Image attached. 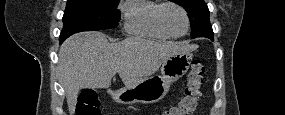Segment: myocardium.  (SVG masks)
<instances>
[{"label": "myocardium", "instance_id": "myocardium-1", "mask_svg": "<svg viewBox=\"0 0 285 115\" xmlns=\"http://www.w3.org/2000/svg\"><path fill=\"white\" fill-rule=\"evenodd\" d=\"M167 7H176L183 13V16L185 19V24H186V28H185L183 33L173 34L169 31V29L165 25V23L163 21V12ZM157 21H158L159 26L162 28V30L166 34H168L171 38H179V37L185 36L187 34L189 28H190V19H189V15H188L187 10L184 7H182L181 5L173 3V2H164L159 6L158 12H157Z\"/></svg>", "mask_w": 285, "mask_h": 115}]
</instances>
